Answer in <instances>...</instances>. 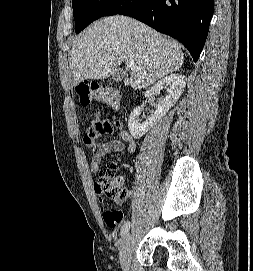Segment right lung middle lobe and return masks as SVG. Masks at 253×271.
<instances>
[{"label":"right lung middle lobe","mask_w":253,"mask_h":271,"mask_svg":"<svg viewBox=\"0 0 253 271\" xmlns=\"http://www.w3.org/2000/svg\"><path fill=\"white\" fill-rule=\"evenodd\" d=\"M124 2L125 0H73L76 33L100 17L114 15Z\"/></svg>","instance_id":"obj_1"}]
</instances>
